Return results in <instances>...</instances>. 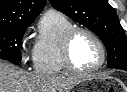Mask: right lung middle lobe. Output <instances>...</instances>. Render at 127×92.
<instances>
[{
  "label": "right lung middle lobe",
  "instance_id": "right-lung-middle-lobe-1",
  "mask_svg": "<svg viewBox=\"0 0 127 92\" xmlns=\"http://www.w3.org/2000/svg\"><path fill=\"white\" fill-rule=\"evenodd\" d=\"M28 26L0 28V59L21 61L20 45Z\"/></svg>",
  "mask_w": 127,
  "mask_h": 92
}]
</instances>
